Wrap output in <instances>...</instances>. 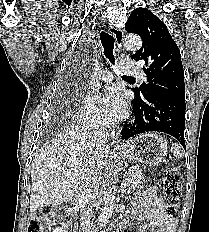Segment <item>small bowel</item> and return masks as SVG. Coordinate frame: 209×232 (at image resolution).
I'll return each mask as SVG.
<instances>
[{"instance_id": "c3829d8e", "label": "small bowel", "mask_w": 209, "mask_h": 232, "mask_svg": "<svg viewBox=\"0 0 209 232\" xmlns=\"http://www.w3.org/2000/svg\"><path fill=\"white\" fill-rule=\"evenodd\" d=\"M132 217L142 224L137 232L159 229L160 232H175L177 220L167 212L165 202L155 187L137 193L133 199ZM129 221H125L128 224Z\"/></svg>"}]
</instances>
